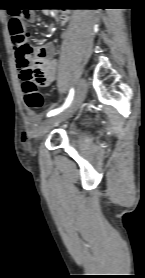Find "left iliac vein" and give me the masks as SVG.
Returning a JSON list of instances; mask_svg holds the SVG:
<instances>
[{"mask_svg":"<svg viewBox=\"0 0 145 278\" xmlns=\"http://www.w3.org/2000/svg\"><path fill=\"white\" fill-rule=\"evenodd\" d=\"M87 94V81L86 79L82 78L79 82L76 95L68 107L63 113L58 114L56 116H52L48 118L39 128L37 134L39 137L43 136L49 129L53 128L54 126L58 125L62 121L68 119L83 103Z\"/></svg>","mask_w":145,"mask_h":278,"instance_id":"4c4485c4","label":"left iliac vein"}]
</instances>
